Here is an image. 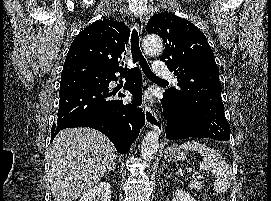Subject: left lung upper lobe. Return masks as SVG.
Wrapping results in <instances>:
<instances>
[{
  "mask_svg": "<svg viewBox=\"0 0 271 201\" xmlns=\"http://www.w3.org/2000/svg\"><path fill=\"white\" fill-rule=\"evenodd\" d=\"M146 30L162 37L166 45L160 60L177 76L179 89L166 92L204 134L228 140L231 130L224 114L219 69L205 35L171 13L151 17Z\"/></svg>",
  "mask_w": 271,
  "mask_h": 201,
  "instance_id": "1",
  "label": "left lung upper lobe"
}]
</instances>
